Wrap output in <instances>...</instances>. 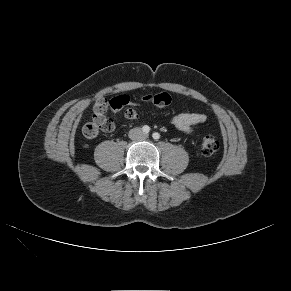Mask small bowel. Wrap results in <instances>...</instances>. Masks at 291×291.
Instances as JSON below:
<instances>
[{"label":"small bowel","mask_w":291,"mask_h":291,"mask_svg":"<svg viewBox=\"0 0 291 291\" xmlns=\"http://www.w3.org/2000/svg\"><path fill=\"white\" fill-rule=\"evenodd\" d=\"M110 101H107L104 98L98 99L93 107V115L105 114L109 108L113 110L110 106ZM136 106L138 105H129L125 109L124 115L127 119L134 120L138 117V113L135 108ZM206 120V115L202 113H180L175 115L171 122L176 129L185 133H192L196 128L204 124Z\"/></svg>","instance_id":"small-bowel-1"}]
</instances>
